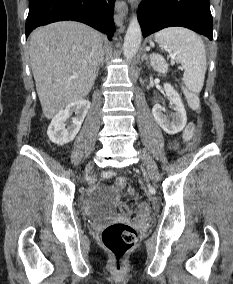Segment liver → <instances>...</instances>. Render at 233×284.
I'll return each mask as SVG.
<instances>
[{
  "instance_id": "obj_1",
  "label": "liver",
  "mask_w": 233,
  "mask_h": 284,
  "mask_svg": "<svg viewBox=\"0 0 233 284\" xmlns=\"http://www.w3.org/2000/svg\"><path fill=\"white\" fill-rule=\"evenodd\" d=\"M29 51L43 114L52 119L92 89L102 37L82 23L61 21L34 30Z\"/></svg>"
}]
</instances>
